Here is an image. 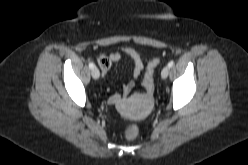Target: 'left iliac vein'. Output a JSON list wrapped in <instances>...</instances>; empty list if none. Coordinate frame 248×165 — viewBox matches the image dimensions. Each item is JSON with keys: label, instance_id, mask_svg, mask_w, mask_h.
Listing matches in <instances>:
<instances>
[{"label": "left iliac vein", "instance_id": "left-iliac-vein-1", "mask_svg": "<svg viewBox=\"0 0 248 165\" xmlns=\"http://www.w3.org/2000/svg\"><path fill=\"white\" fill-rule=\"evenodd\" d=\"M168 74H169V67L166 66V67H164V68L162 69V71H161V77H162L163 79H165V78H167Z\"/></svg>", "mask_w": 248, "mask_h": 165}]
</instances>
